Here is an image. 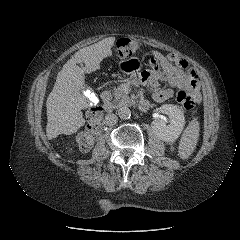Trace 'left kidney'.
<instances>
[{
  "instance_id": "1",
  "label": "left kidney",
  "mask_w": 240,
  "mask_h": 240,
  "mask_svg": "<svg viewBox=\"0 0 240 240\" xmlns=\"http://www.w3.org/2000/svg\"><path fill=\"white\" fill-rule=\"evenodd\" d=\"M159 111L168 115L170 122L166 124L163 120L156 118L151 122V128L155 135L163 141L173 142L179 137L184 128V114L177 106L172 104L162 105Z\"/></svg>"
}]
</instances>
